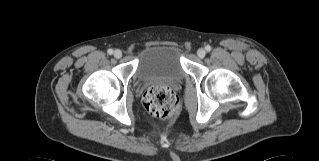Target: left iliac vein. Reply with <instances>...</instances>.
Returning <instances> with one entry per match:
<instances>
[{
  "label": "left iliac vein",
  "mask_w": 319,
  "mask_h": 161,
  "mask_svg": "<svg viewBox=\"0 0 319 161\" xmlns=\"http://www.w3.org/2000/svg\"><path fill=\"white\" fill-rule=\"evenodd\" d=\"M205 55H206L205 49L200 48V49L197 50V56H198L199 58H204Z\"/></svg>",
  "instance_id": "obj_1"
}]
</instances>
